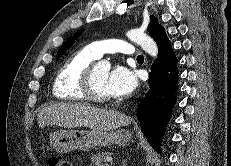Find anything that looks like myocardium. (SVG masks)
<instances>
[{
    "label": "myocardium",
    "instance_id": "f54148a6",
    "mask_svg": "<svg viewBox=\"0 0 231 166\" xmlns=\"http://www.w3.org/2000/svg\"><path fill=\"white\" fill-rule=\"evenodd\" d=\"M96 64L91 63L82 76L81 88L86 97V99L96 102H107L110 100L108 95L100 93L95 85L94 81V71Z\"/></svg>",
    "mask_w": 231,
    "mask_h": 166
}]
</instances>
